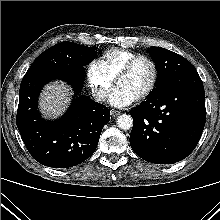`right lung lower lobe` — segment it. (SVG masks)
<instances>
[{"label": "right lung lower lobe", "mask_w": 220, "mask_h": 220, "mask_svg": "<svg viewBox=\"0 0 220 220\" xmlns=\"http://www.w3.org/2000/svg\"><path fill=\"white\" fill-rule=\"evenodd\" d=\"M83 78L84 70H38L27 72L22 79L16 124L29 153L42 165L76 166L96 150L110 111L81 95ZM55 79L68 82L75 95L67 113L48 122L41 118L37 101L42 87Z\"/></svg>", "instance_id": "right-lung-lower-lobe-1"}]
</instances>
